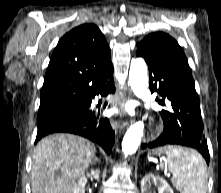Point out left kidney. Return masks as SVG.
I'll list each match as a JSON object with an SVG mask.
<instances>
[{
	"label": "left kidney",
	"instance_id": "left-kidney-1",
	"mask_svg": "<svg viewBox=\"0 0 221 193\" xmlns=\"http://www.w3.org/2000/svg\"><path fill=\"white\" fill-rule=\"evenodd\" d=\"M154 184L158 188V193H174L169 184L154 174H146L141 180V193H151V186Z\"/></svg>",
	"mask_w": 221,
	"mask_h": 193
}]
</instances>
